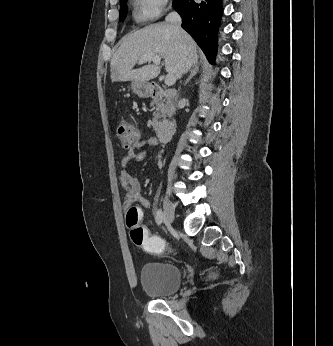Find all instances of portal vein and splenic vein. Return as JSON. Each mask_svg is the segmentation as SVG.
Wrapping results in <instances>:
<instances>
[{
    "label": "portal vein and splenic vein",
    "mask_w": 333,
    "mask_h": 346,
    "mask_svg": "<svg viewBox=\"0 0 333 346\" xmlns=\"http://www.w3.org/2000/svg\"><path fill=\"white\" fill-rule=\"evenodd\" d=\"M153 62L155 65H160L161 63V57L159 55H151V56H147L143 59H141L139 61V63L143 64V63H146V62ZM165 84L167 86H173L176 82V77L173 75V74H168L166 77H165Z\"/></svg>",
    "instance_id": "18ae733b"
}]
</instances>
